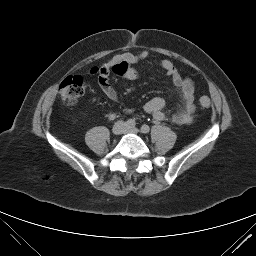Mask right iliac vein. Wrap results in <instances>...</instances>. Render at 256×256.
Wrapping results in <instances>:
<instances>
[{
	"label": "right iliac vein",
	"mask_w": 256,
	"mask_h": 256,
	"mask_svg": "<svg viewBox=\"0 0 256 256\" xmlns=\"http://www.w3.org/2000/svg\"><path fill=\"white\" fill-rule=\"evenodd\" d=\"M125 128H126V124L122 121H119V122L114 124V126L112 128V132L115 135H120L124 132Z\"/></svg>",
	"instance_id": "right-iliac-vein-1"
}]
</instances>
